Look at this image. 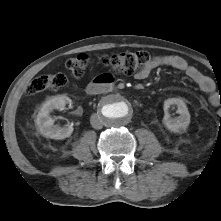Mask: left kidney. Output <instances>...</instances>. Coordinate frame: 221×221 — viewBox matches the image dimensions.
<instances>
[{"label":"left kidney","mask_w":221,"mask_h":221,"mask_svg":"<svg viewBox=\"0 0 221 221\" xmlns=\"http://www.w3.org/2000/svg\"><path fill=\"white\" fill-rule=\"evenodd\" d=\"M170 107L177 108L179 114L176 118H171L168 110ZM165 115L163 118V125L173 133H184L190 124V114L188 108L181 98H168L164 101Z\"/></svg>","instance_id":"5707ae66"}]
</instances>
